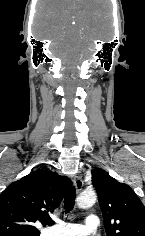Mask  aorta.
Listing matches in <instances>:
<instances>
[{
  "mask_svg": "<svg viewBox=\"0 0 145 236\" xmlns=\"http://www.w3.org/2000/svg\"><path fill=\"white\" fill-rule=\"evenodd\" d=\"M97 199L96 193L92 190L83 191L77 198V205L81 209L91 207Z\"/></svg>",
  "mask_w": 145,
  "mask_h": 236,
  "instance_id": "1",
  "label": "aorta"
}]
</instances>
